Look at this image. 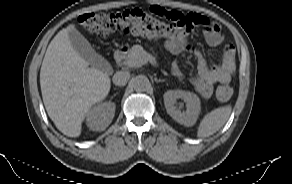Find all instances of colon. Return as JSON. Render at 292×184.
<instances>
[{
	"instance_id": "obj_1",
	"label": "colon",
	"mask_w": 292,
	"mask_h": 184,
	"mask_svg": "<svg viewBox=\"0 0 292 184\" xmlns=\"http://www.w3.org/2000/svg\"><path fill=\"white\" fill-rule=\"evenodd\" d=\"M79 24L91 33L101 36L111 34H131L150 39H168L175 31L188 30L193 26L189 15L179 11H168L154 6L149 11L131 9L115 13L89 12L78 18ZM233 94L229 85L216 89L220 101H228Z\"/></svg>"
}]
</instances>
